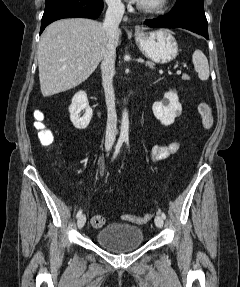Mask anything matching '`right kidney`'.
Wrapping results in <instances>:
<instances>
[{"instance_id": "obj_1", "label": "right kidney", "mask_w": 240, "mask_h": 287, "mask_svg": "<svg viewBox=\"0 0 240 287\" xmlns=\"http://www.w3.org/2000/svg\"><path fill=\"white\" fill-rule=\"evenodd\" d=\"M84 111V115L81 117L80 113ZM70 120L76 129L82 130L89 125L93 111L89 106L87 94L84 91L77 92L73 98L72 103L69 106Z\"/></svg>"}]
</instances>
